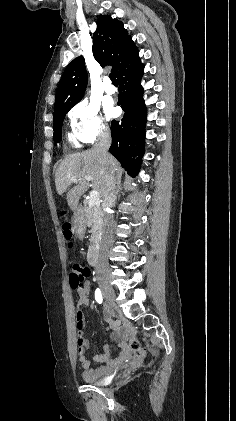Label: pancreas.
Returning <instances> with one entry per match:
<instances>
[{"mask_svg":"<svg viewBox=\"0 0 236 421\" xmlns=\"http://www.w3.org/2000/svg\"><path fill=\"white\" fill-rule=\"evenodd\" d=\"M84 213L86 225L87 227H90V231L92 233L89 241L98 247L103 227V211H101V206H97V204H95V206H91V204H89V200H84Z\"/></svg>","mask_w":236,"mask_h":421,"instance_id":"1","label":"pancreas"}]
</instances>
